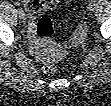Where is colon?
Listing matches in <instances>:
<instances>
[{
  "label": "colon",
  "mask_w": 111,
  "mask_h": 106,
  "mask_svg": "<svg viewBox=\"0 0 111 106\" xmlns=\"http://www.w3.org/2000/svg\"><path fill=\"white\" fill-rule=\"evenodd\" d=\"M36 33L40 38L37 47L39 49L49 50V55L43 62V68L48 73L55 72L58 67L56 59L60 56L61 50L55 48L50 42V37L54 33V27L51 18L47 16L40 17L37 21Z\"/></svg>",
  "instance_id": "1"
}]
</instances>
